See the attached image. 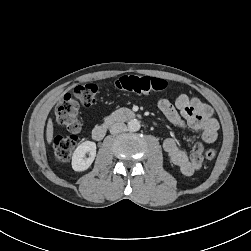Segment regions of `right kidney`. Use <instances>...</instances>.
Wrapping results in <instances>:
<instances>
[{
  "label": "right kidney",
  "mask_w": 251,
  "mask_h": 251,
  "mask_svg": "<svg viewBox=\"0 0 251 251\" xmlns=\"http://www.w3.org/2000/svg\"><path fill=\"white\" fill-rule=\"evenodd\" d=\"M89 157H86V154ZM96 156V144L92 141L81 143L74 151L72 156V168L75 171H85L93 163Z\"/></svg>",
  "instance_id": "1"
}]
</instances>
